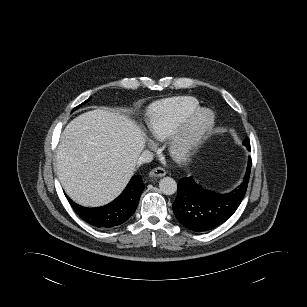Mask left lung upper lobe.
I'll use <instances>...</instances> for the list:
<instances>
[{
  "instance_id": "1",
  "label": "left lung upper lobe",
  "mask_w": 307,
  "mask_h": 307,
  "mask_svg": "<svg viewBox=\"0 0 307 307\" xmlns=\"http://www.w3.org/2000/svg\"><path fill=\"white\" fill-rule=\"evenodd\" d=\"M243 144L247 147V148H250V142H249V139L247 138Z\"/></svg>"
}]
</instances>
